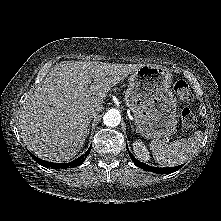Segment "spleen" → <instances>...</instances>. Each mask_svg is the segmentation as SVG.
<instances>
[{
    "label": "spleen",
    "instance_id": "3e777b00",
    "mask_svg": "<svg viewBox=\"0 0 221 221\" xmlns=\"http://www.w3.org/2000/svg\"><path fill=\"white\" fill-rule=\"evenodd\" d=\"M203 140V133L196 131L187 139H180L171 143L161 140H153L150 143V150L153 158L162 166L173 167L186 162L199 150Z\"/></svg>",
    "mask_w": 221,
    "mask_h": 221
}]
</instances>
